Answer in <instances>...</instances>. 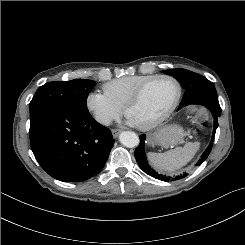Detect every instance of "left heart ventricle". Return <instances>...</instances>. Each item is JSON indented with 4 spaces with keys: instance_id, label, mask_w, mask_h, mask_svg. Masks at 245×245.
Wrapping results in <instances>:
<instances>
[{
    "instance_id": "left-heart-ventricle-1",
    "label": "left heart ventricle",
    "mask_w": 245,
    "mask_h": 245,
    "mask_svg": "<svg viewBox=\"0 0 245 245\" xmlns=\"http://www.w3.org/2000/svg\"><path fill=\"white\" fill-rule=\"evenodd\" d=\"M177 94L176 84L170 80H157L144 90L140 100L128 110V116L138 126L149 124L164 115Z\"/></svg>"
}]
</instances>
